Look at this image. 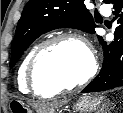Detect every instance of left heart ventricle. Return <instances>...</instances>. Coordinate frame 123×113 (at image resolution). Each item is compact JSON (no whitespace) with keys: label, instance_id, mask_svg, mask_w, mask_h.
I'll return each mask as SVG.
<instances>
[{"label":"left heart ventricle","instance_id":"b2bd125f","mask_svg":"<svg viewBox=\"0 0 123 113\" xmlns=\"http://www.w3.org/2000/svg\"><path fill=\"white\" fill-rule=\"evenodd\" d=\"M86 50L77 42L62 41L46 51L36 65V80L41 91L68 86L81 79L89 70Z\"/></svg>","mask_w":123,"mask_h":113}]
</instances>
